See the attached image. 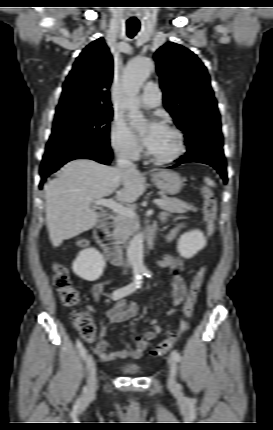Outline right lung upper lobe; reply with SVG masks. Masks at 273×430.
<instances>
[{"label":"right lung upper lobe","mask_w":273,"mask_h":430,"mask_svg":"<svg viewBox=\"0 0 273 430\" xmlns=\"http://www.w3.org/2000/svg\"><path fill=\"white\" fill-rule=\"evenodd\" d=\"M113 78V60L103 38L83 49L67 76L59 108L82 106L112 109L109 88Z\"/></svg>","instance_id":"obj_1"}]
</instances>
